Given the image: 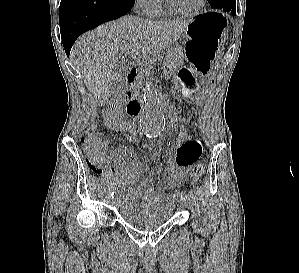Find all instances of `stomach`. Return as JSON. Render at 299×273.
I'll list each match as a JSON object with an SVG mask.
<instances>
[{
    "instance_id": "1",
    "label": "stomach",
    "mask_w": 299,
    "mask_h": 273,
    "mask_svg": "<svg viewBox=\"0 0 299 273\" xmlns=\"http://www.w3.org/2000/svg\"><path fill=\"white\" fill-rule=\"evenodd\" d=\"M228 29L227 17L218 11H208L190 21L183 37L188 69L179 67L174 79L180 91L184 92L183 101L202 100L208 88L211 74H220L217 56L221 51L225 33Z\"/></svg>"
}]
</instances>
